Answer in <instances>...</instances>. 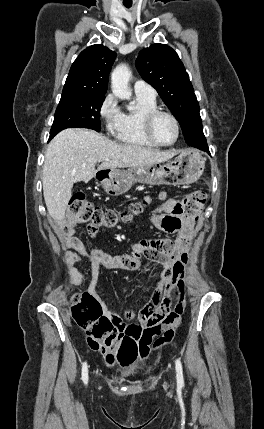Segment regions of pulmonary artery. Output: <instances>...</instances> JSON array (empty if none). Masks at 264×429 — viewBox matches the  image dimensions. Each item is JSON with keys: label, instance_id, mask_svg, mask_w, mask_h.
<instances>
[{"label": "pulmonary artery", "instance_id": "1", "mask_svg": "<svg viewBox=\"0 0 264 429\" xmlns=\"http://www.w3.org/2000/svg\"><path fill=\"white\" fill-rule=\"evenodd\" d=\"M133 88L136 95L156 97V90L150 84L143 80H137L134 83Z\"/></svg>", "mask_w": 264, "mask_h": 429}]
</instances>
